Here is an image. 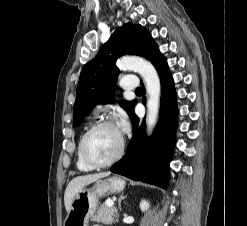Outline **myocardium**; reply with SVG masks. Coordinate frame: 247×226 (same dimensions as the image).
<instances>
[{
	"label": "myocardium",
	"instance_id": "f54148a6",
	"mask_svg": "<svg viewBox=\"0 0 247 226\" xmlns=\"http://www.w3.org/2000/svg\"><path fill=\"white\" fill-rule=\"evenodd\" d=\"M105 127H112V128H117L116 124L114 123V121L112 120H102L99 121L97 123H95L94 125H92L82 136L81 140H80V155L82 160L85 162V164H87L88 166H90L91 168H104V167H108L112 164H114L115 162H117L119 159H121V157L124 155L125 153V149H126V144H125V140L123 139V137L121 138V143H120V147L118 152L108 161L102 162V163H96L94 161H92L87 153H86V141L88 139V137L94 133L95 131L101 129V128H105ZM118 129V128H117Z\"/></svg>",
	"mask_w": 247,
	"mask_h": 226
}]
</instances>
